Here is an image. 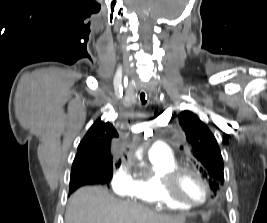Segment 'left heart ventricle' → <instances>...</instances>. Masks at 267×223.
I'll return each instance as SVG.
<instances>
[{"instance_id":"left-heart-ventricle-1","label":"left heart ventricle","mask_w":267,"mask_h":223,"mask_svg":"<svg viewBox=\"0 0 267 223\" xmlns=\"http://www.w3.org/2000/svg\"><path fill=\"white\" fill-rule=\"evenodd\" d=\"M178 191L184 198L199 202L205 196V189L202 182L192 173H184L178 182Z\"/></svg>"}]
</instances>
